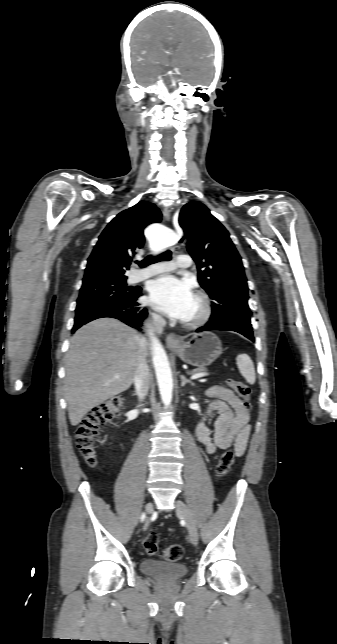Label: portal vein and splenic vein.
Returning <instances> with one entry per match:
<instances>
[{
	"instance_id": "obj_1",
	"label": "portal vein and splenic vein",
	"mask_w": 337,
	"mask_h": 644,
	"mask_svg": "<svg viewBox=\"0 0 337 644\" xmlns=\"http://www.w3.org/2000/svg\"><path fill=\"white\" fill-rule=\"evenodd\" d=\"M207 375H208L207 373H196V374H193V375L191 376V379H192V380H195V379H198V378H201V377L207 376ZM116 378H119V376H116Z\"/></svg>"
}]
</instances>
